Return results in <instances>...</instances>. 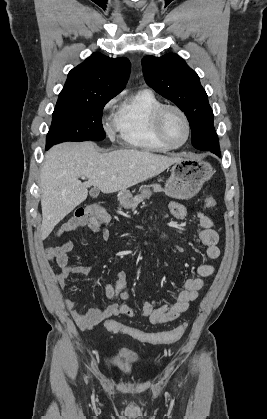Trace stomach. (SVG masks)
Returning <instances> with one entry per match:
<instances>
[{"label": "stomach", "instance_id": "0dacf381", "mask_svg": "<svg viewBox=\"0 0 267 419\" xmlns=\"http://www.w3.org/2000/svg\"><path fill=\"white\" fill-rule=\"evenodd\" d=\"M213 174L214 170L209 162L195 157L181 158L171 168L170 178L165 184V193L176 199L192 198ZM142 194L144 198H149L151 191L147 186H143ZM118 200L126 209L133 205V196L128 190L120 191Z\"/></svg>", "mask_w": 267, "mask_h": 419}]
</instances>
